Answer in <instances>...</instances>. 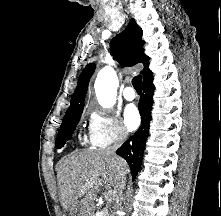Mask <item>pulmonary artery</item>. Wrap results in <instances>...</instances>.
<instances>
[{
    "label": "pulmonary artery",
    "instance_id": "pulmonary-artery-1",
    "mask_svg": "<svg viewBox=\"0 0 221 216\" xmlns=\"http://www.w3.org/2000/svg\"><path fill=\"white\" fill-rule=\"evenodd\" d=\"M123 96L128 101L134 100L136 98V93L133 87H130V86L126 87L123 91Z\"/></svg>",
    "mask_w": 221,
    "mask_h": 216
}]
</instances>
